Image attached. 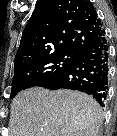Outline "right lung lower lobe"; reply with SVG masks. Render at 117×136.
Wrapping results in <instances>:
<instances>
[{"label": "right lung lower lobe", "mask_w": 117, "mask_h": 136, "mask_svg": "<svg viewBox=\"0 0 117 136\" xmlns=\"http://www.w3.org/2000/svg\"><path fill=\"white\" fill-rule=\"evenodd\" d=\"M108 50L105 30L102 28L70 63L38 86L50 90L64 88L85 92L104 106L110 78Z\"/></svg>", "instance_id": "1"}]
</instances>
